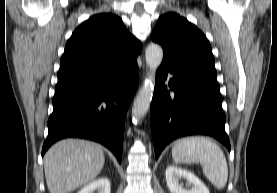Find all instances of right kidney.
I'll return each mask as SVG.
<instances>
[{"instance_id": "ca27d5eb", "label": "right kidney", "mask_w": 277, "mask_h": 193, "mask_svg": "<svg viewBox=\"0 0 277 193\" xmlns=\"http://www.w3.org/2000/svg\"><path fill=\"white\" fill-rule=\"evenodd\" d=\"M110 181L107 178H99L84 186L77 193H110Z\"/></svg>"}]
</instances>
